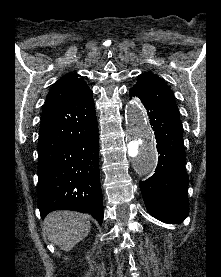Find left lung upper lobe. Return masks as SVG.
Instances as JSON below:
<instances>
[{
    "label": "left lung upper lobe",
    "mask_w": 221,
    "mask_h": 277,
    "mask_svg": "<svg viewBox=\"0 0 221 277\" xmlns=\"http://www.w3.org/2000/svg\"><path fill=\"white\" fill-rule=\"evenodd\" d=\"M153 99L163 110L179 123V110L174 100V94L168 85L157 75L147 72L138 76L136 84L133 86Z\"/></svg>",
    "instance_id": "left-lung-upper-lobe-1"
}]
</instances>
